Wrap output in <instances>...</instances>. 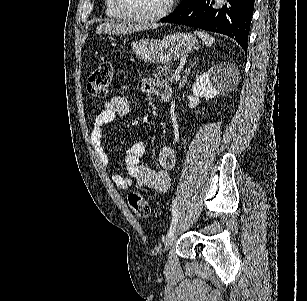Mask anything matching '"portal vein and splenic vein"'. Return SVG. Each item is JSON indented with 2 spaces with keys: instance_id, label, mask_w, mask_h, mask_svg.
<instances>
[{
  "instance_id": "1",
  "label": "portal vein and splenic vein",
  "mask_w": 307,
  "mask_h": 301,
  "mask_svg": "<svg viewBox=\"0 0 307 301\" xmlns=\"http://www.w3.org/2000/svg\"><path fill=\"white\" fill-rule=\"evenodd\" d=\"M175 78L177 80V78H180V72H175Z\"/></svg>"
}]
</instances>
